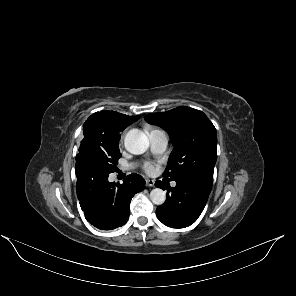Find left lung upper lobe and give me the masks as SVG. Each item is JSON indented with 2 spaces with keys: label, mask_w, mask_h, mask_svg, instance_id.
I'll use <instances>...</instances> for the list:
<instances>
[{
  "label": "left lung upper lobe",
  "mask_w": 296,
  "mask_h": 296,
  "mask_svg": "<svg viewBox=\"0 0 296 296\" xmlns=\"http://www.w3.org/2000/svg\"><path fill=\"white\" fill-rule=\"evenodd\" d=\"M145 118L165 129L174 146L164 176L175 181L198 176L213 179L217 133L202 111L182 106Z\"/></svg>",
  "instance_id": "1"
}]
</instances>
